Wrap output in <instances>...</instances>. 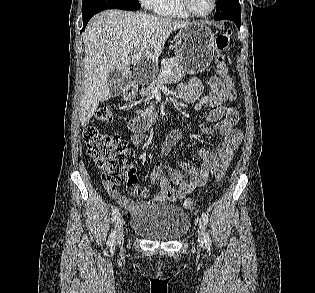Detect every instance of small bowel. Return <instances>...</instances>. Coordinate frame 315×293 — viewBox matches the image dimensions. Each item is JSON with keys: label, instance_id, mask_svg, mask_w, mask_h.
I'll return each instance as SVG.
<instances>
[{"label": "small bowel", "instance_id": "c3829d8e", "mask_svg": "<svg viewBox=\"0 0 315 293\" xmlns=\"http://www.w3.org/2000/svg\"><path fill=\"white\" fill-rule=\"evenodd\" d=\"M221 77L212 76L208 79L210 92L203 95V83L198 77H193L187 84L178 87L180 98L186 103L195 104L196 111L208 107L209 111L203 115L207 122L214 123V127H203L201 131L206 135L218 132L220 143L216 151L202 148L198 151L200 165L178 162L172 167L164 161H159L150 174V182L158 184L160 190L152 197L151 202H176L188 193L204 186L210 175L216 174L221 167L228 165L235 151L242 141V134L236 128L239 114L234 107L227 103L235 99V94L225 91V85L220 83ZM182 128L174 129L161 147L162 157L167 155L182 135ZM145 139L143 133L137 132L130 136L133 145L141 144ZM108 195L124 209L138 213L148 203L147 200L134 202L114 189L113 185L105 183ZM141 188V187H140ZM138 197H148L149 191L141 188Z\"/></svg>", "mask_w": 315, "mask_h": 293}]
</instances>
